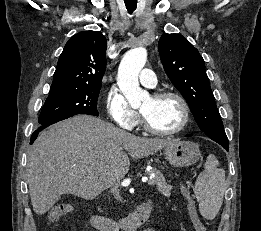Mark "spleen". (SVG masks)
I'll list each match as a JSON object with an SVG mask.
<instances>
[{
  "label": "spleen",
  "mask_w": 261,
  "mask_h": 231,
  "mask_svg": "<svg viewBox=\"0 0 261 231\" xmlns=\"http://www.w3.org/2000/svg\"><path fill=\"white\" fill-rule=\"evenodd\" d=\"M219 161L210 154L204 165V171L196 179L194 192L199 203L201 215L212 220L219 212L226 189L225 171L218 168Z\"/></svg>",
  "instance_id": "spleen-1"
}]
</instances>
